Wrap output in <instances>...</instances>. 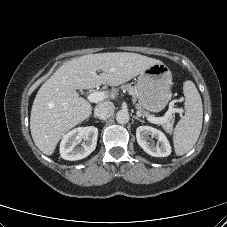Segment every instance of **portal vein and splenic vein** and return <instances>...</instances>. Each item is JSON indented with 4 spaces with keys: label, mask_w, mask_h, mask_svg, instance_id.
I'll use <instances>...</instances> for the list:
<instances>
[{
    "label": "portal vein and splenic vein",
    "mask_w": 227,
    "mask_h": 227,
    "mask_svg": "<svg viewBox=\"0 0 227 227\" xmlns=\"http://www.w3.org/2000/svg\"><path fill=\"white\" fill-rule=\"evenodd\" d=\"M106 97H107L106 92L97 91V92H93V93L89 94L87 98L90 102L97 103L99 101L104 100ZM175 112L181 113L182 110L179 108H173L170 111V113H175ZM147 120L154 124H162V123L166 122L168 120V118L166 116H163V117L148 116Z\"/></svg>",
    "instance_id": "portal-vein-and-splenic-vein-1"
}]
</instances>
